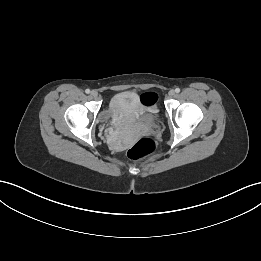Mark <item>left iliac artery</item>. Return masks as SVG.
Segmentation results:
<instances>
[{
  "mask_svg": "<svg viewBox=\"0 0 261 261\" xmlns=\"http://www.w3.org/2000/svg\"><path fill=\"white\" fill-rule=\"evenodd\" d=\"M175 92H176V93H179V92H180V89H179V88H176V89H175Z\"/></svg>",
  "mask_w": 261,
  "mask_h": 261,
  "instance_id": "left-iliac-artery-1",
  "label": "left iliac artery"
}]
</instances>
